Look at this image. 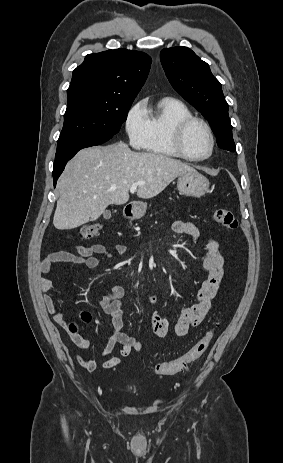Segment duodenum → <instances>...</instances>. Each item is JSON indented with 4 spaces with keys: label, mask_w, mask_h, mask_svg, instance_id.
<instances>
[{
    "label": "duodenum",
    "mask_w": 283,
    "mask_h": 463,
    "mask_svg": "<svg viewBox=\"0 0 283 463\" xmlns=\"http://www.w3.org/2000/svg\"><path fill=\"white\" fill-rule=\"evenodd\" d=\"M137 215V204L130 203L125 208V216L127 218H134Z\"/></svg>",
    "instance_id": "duodenum-1"
}]
</instances>
